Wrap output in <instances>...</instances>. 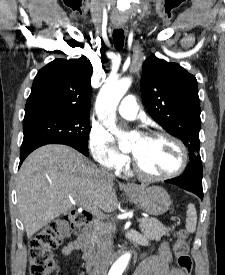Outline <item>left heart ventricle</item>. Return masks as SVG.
Returning <instances> with one entry per match:
<instances>
[{
	"label": "left heart ventricle",
	"instance_id": "obj_1",
	"mask_svg": "<svg viewBox=\"0 0 225 275\" xmlns=\"http://www.w3.org/2000/svg\"><path fill=\"white\" fill-rule=\"evenodd\" d=\"M131 151L141 168L153 175L170 173L180 163L178 148L164 138L140 137L133 143Z\"/></svg>",
	"mask_w": 225,
	"mask_h": 275
}]
</instances>
